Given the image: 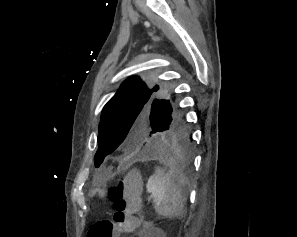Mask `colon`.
<instances>
[{"label":"colon","mask_w":297,"mask_h":237,"mask_svg":"<svg viewBox=\"0 0 297 237\" xmlns=\"http://www.w3.org/2000/svg\"><path fill=\"white\" fill-rule=\"evenodd\" d=\"M113 205L112 219L98 221L91 225L87 237H117L121 233L133 232L141 223L136 215L140 203V177L128 173L107 192Z\"/></svg>","instance_id":"obj_1"}]
</instances>
